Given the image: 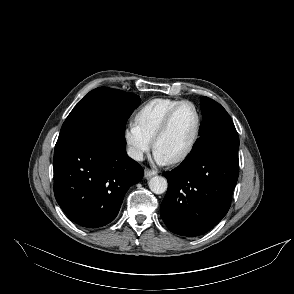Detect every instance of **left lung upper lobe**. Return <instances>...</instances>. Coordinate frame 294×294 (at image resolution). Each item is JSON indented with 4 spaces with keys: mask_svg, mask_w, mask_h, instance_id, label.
Here are the masks:
<instances>
[{
    "mask_svg": "<svg viewBox=\"0 0 294 294\" xmlns=\"http://www.w3.org/2000/svg\"><path fill=\"white\" fill-rule=\"evenodd\" d=\"M203 121L200 127V136L222 129H235L231 117L216 101L203 97L200 102Z\"/></svg>",
    "mask_w": 294,
    "mask_h": 294,
    "instance_id": "5c2ea615",
    "label": "left lung upper lobe"
}]
</instances>
